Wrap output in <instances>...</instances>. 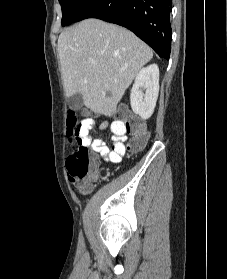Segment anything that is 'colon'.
Instances as JSON below:
<instances>
[{"label": "colon", "instance_id": "5ec220e1", "mask_svg": "<svg viewBox=\"0 0 227 279\" xmlns=\"http://www.w3.org/2000/svg\"><path fill=\"white\" fill-rule=\"evenodd\" d=\"M120 120L124 130L132 134V140L127 145L131 151H139L146 145L149 133L143 127L141 121L137 118H130V113L126 107L119 108ZM78 120V115L75 111H70L67 120V135L75 137L78 144L77 149L68 156L66 161L67 170L71 178H77L79 182L77 187L81 191H88L93 183L96 174L97 155L90 150L91 142L89 132L87 130L88 121ZM92 172L93 176L88 174Z\"/></svg>", "mask_w": 227, "mask_h": 279}]
</instances>
